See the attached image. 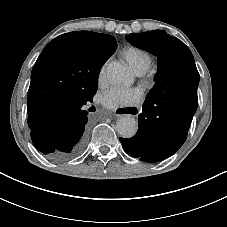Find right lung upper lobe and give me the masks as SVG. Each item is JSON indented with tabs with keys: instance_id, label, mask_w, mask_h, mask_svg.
Returning a JSON list of instances; mask_svg holds the SVG:
<instances>
[{
	"instance_id": "1",
	"label": "right lung upper lobe",
	"mask_w": 227,
	"mask_h": 227,
	"mask_svg": "<svg viewBox=\"0 0 227 227\" xmlns=\"http://www.w3.org/2000/svg\"><path fill=\"white\" fill-rule=\"evenodd\" d=\"M115 49L113 36L90 31L65 33L49 42L31 73L28 90L31 131L42 130L63 100L87 93L90 68L83 55L108 53Z\"/></svg>"
}]
</instances>
